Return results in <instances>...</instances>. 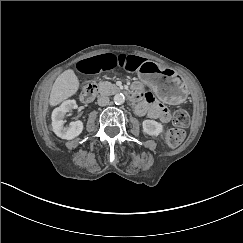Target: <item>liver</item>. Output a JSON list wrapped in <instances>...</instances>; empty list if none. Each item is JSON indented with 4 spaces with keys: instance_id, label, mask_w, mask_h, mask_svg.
Listing matches in <instances>:
<instances>
[{
    "instance_id": "6515ba94",
    "label": "liver",
    "mask_w": 243,
    "mask_h": 243,
    "mask_svg": "<svg viewBox=\"0 0 243 243\" xmlns=\"http://www.w3.org/2000/svg\"><path fill=\"white\" fill-rule=\"evenodd\" d=\"M79 88V80L72 69L60 74L55 80L49 98L51 106H56L74 95Z\"/></svg>"
}]
</instances>
